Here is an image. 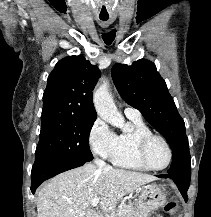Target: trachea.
<instances>
[{
  "instance_id": "obj_1",
  "label": "trachea",
  "mask_w": 211,
  "mask_h": 217,
  "mask_svg": "<svg viewBox=\"0 0 211 217\" xmlns=\"http://www.w3.org/2000/svg\"><path fill=\"white\" fill-rule=\"evenodd\" d=\"M101 20H103V21H107L108 20V18H100Z\"/></svg>"
}]
</instances>
